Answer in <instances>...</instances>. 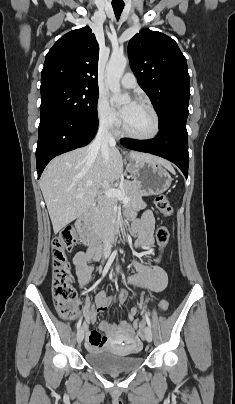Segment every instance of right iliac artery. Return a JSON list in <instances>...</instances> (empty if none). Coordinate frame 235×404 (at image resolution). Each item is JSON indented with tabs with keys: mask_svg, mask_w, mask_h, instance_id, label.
<instances>
[{
	"mask_svg": "<svg viewBox=\"0 0 235 404\" xmlns=\"http://www.w3.org/2000/svg\"><path fill=\"white\" fill-rule=\"evenodd\" d=\"M116 255H117V250H115V251L111 254L110 258L108 259V261H107V263H106V265H105V267H104L102 277H104V276L107 274V272H108V270H109V268H110V266H111V264H112V262H113V260H114V258H115ZM80 326H81V320H80V321L78 322V324H77V329H79Z\"/></svg>",
	"mask_w": 235,
	"mask_h": 404,
	"instance_id": "obj_1",
	"label": "right iliac artery"
}]
</instances>
